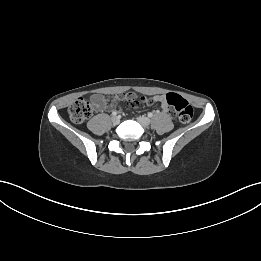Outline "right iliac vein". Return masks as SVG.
<instances>
[{"mask_svg": "<svg viewBox=\"0 0 261 261\" xmlns=\"http://www.w3.org/2000/svg\"><path fill=\"white\" fill-rule=\"evenodd\" d=\"M112 122L114 125H118L120 123V118L118 116H113Z\"/></svg>", "mask_w": 261, "mask_h": 261, "instance_id": "63e3f726", "label": "right iliac vein"}]
</instances>
